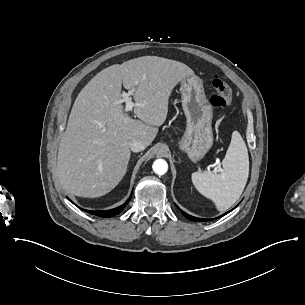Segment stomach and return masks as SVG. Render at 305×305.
I'll use <instances>...</instances> for the list:
<instances>
[{
  "instance_id": "stomach-1",
  "label": "stomach",
  "mask_w": 305,
  "mask_h": 305,
  "mask_svg": "<svg viewBox=\"0 0 305 305\" xmlns=\"http://www.w3.org/2000/svg\"><path fill=\"white\" fill-rule=\"evenodd\" d=\"M180 92L182 107L186 116V131L179 141L180 150L197 162L209 151L213 144V108L206 98L203 82L196 75L182 79Z\"/></svg>"
}]
</instances>
